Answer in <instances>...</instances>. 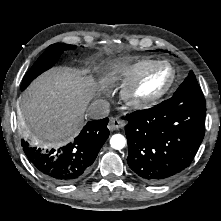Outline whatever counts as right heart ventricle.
<instances>
[{
    "label": "right heart ventricle",
    "instance_id": "obj_1",
    "mask_svg": "<svg viewBox=\"0 0 221 221\" xmlns=\"http://www.w3.org/2000/svg\"><path fill=\"white\" fill-rule=\"evenodd\" d=\"M150 59H142L133 63L117 64L108 71V80L118 86H126L142 73L151 63Z\"/></svg>",
    "mask_w": 221,
    "mask_h": 221
}]
</instances>
